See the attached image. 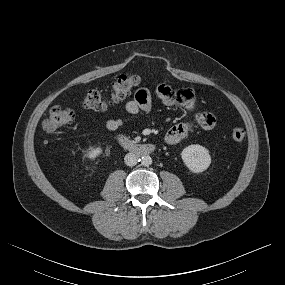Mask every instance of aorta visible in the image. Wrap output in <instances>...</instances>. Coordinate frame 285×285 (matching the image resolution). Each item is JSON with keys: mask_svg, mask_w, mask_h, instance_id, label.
Returning <instances> with one entry per match:
<instances>
[{"mask_svg": "<svg viewBox=\"0 0 285 285\" xmlns=\"http://www.w3.org/2000/svg\"><path fill=\"white\" fill-rule=\"evenodd\" d=\"M140 161L143 166H149L152 164V158L149 155L142 156Z\"/></svg>", "mask_w": 285, "mask_h": 285, "instance_id": "obj_1", "label": "aorta"}]
</instances>
